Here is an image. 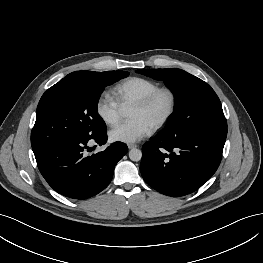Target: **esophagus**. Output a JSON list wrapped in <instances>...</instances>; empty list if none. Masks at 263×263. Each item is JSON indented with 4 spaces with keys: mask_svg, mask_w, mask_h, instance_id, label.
<instances>
[{
    "mask_svg": "<svg viewBox=\"0 0 263 263\" xmlns=\"http://www.w3.org/2000/svg\"><path fill=\"white\" fill-rule=\"evenodd\" d=\"M127 146H128L129 149H132V148H136V147H137L136 144H128Z\"/></svg>",
    "mask_w": 263,
    "mask_h": 263,
    "instance_id": "esophagus-1",
    "label": "esophagus"
}]
</instances>
